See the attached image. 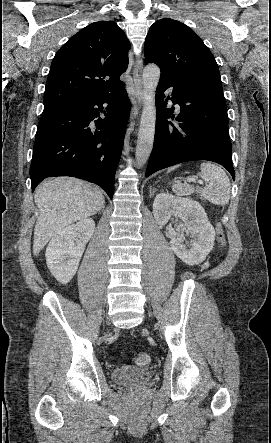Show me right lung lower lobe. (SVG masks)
Returning <instances> with one entry per match:
<instances>
[{
    "label": "right lung lower lobe",
    "instance_id": "right-lung-lower-lobe-1",
    "mask_svg": "<svg viewBox=\"0 0 271 443\" xmlns=\"http://www.w3.org/2000/svg\"><path fill=\"white\" fill-rule=\"evenodd\" d=\"M108 103L107 112L103 104ZM105 113V119L91 121ZM130 101L125 88L114 94L44 106L30 167L32 191L46 177L72 176L101 186L112 199Z\"/></svg>",
    "mask_w": 271,
    "mask_h": 443
}]
</instances>
